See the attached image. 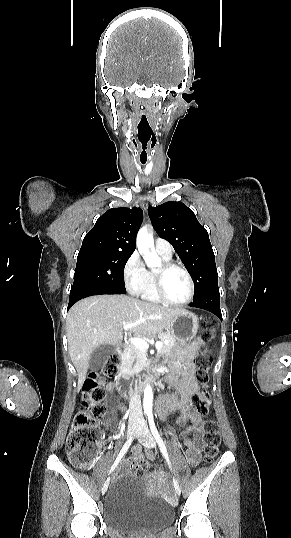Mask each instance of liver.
<instances>
[{"label": "liver", "mask_w": 291, "mask_h": 538, "mask_svg": "<svg viewBox=\"0 0 291 538\" xmlns=\"http://www.w3.org/2000/svg\"><path fill=\"white\" fill-rule=\"evenodd\" d=\"M183 311L126 295L93 296L77 302L66 321L69 355L78 373L77 391L86 379L91 354L102 345L121 344L125 323L137 324L129 329L131 333L149 337L169 327Z\"/></svg>", "instance_id": "1"}]
</instances>
